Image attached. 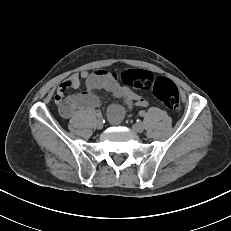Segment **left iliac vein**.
<instances>
[{"label":"left iliac vein","mask_w":231,"mask_h":231,"mask_svg":"<svg viewBox=\"0 0 231 231\" xmlns=\"http://www.w3.org/2000/svg\"><path fill=\"white\" fill-rule=\"evenodd\" d=\"M132 129L137 133H141L144 130V126L141 123H135L133 124Z\"/></svg>","instance_id":"obj_1"}]
</instances>
